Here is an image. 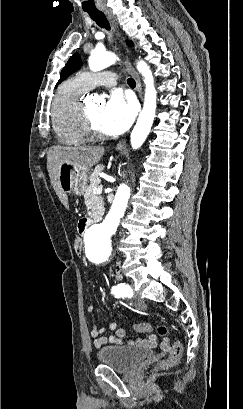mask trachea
Returning a JSON list of instances; mask_svg holds the SVG:
<instances>
[{"label":"trachea","instance_id":"obj_1","mask_svg":"<svg viewBox=\"0 0 243 409\" xmlns=\"http://www.w3.org/2000/svg\"><path fill=\"white\" fill-rule=\"evenodd\" d=\"M89 16L102 28H105L107 30H110V25L109 22L106 18V16L100 12V11H95V12H88ZM127 83L130 87H135L136 82L134 79L129 78L127 80Z\"/></svg>","mask_w":243,"mask_h":409}]
</instances>
